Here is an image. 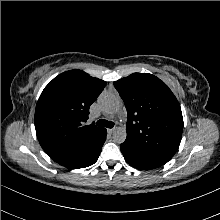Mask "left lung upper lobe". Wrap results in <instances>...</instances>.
I'll return each mask as SVG.
<instances>
[{
	"instance_id": "left-lung-upper-lobe-1",
	"label": "left lung upper lobe",
	"mask_w": 220,
	"mask_h": 220,
	"mask_svg": "<svg viewBox=\"0 0 220 220\" xmlns=\"http://www.w3.org/2000/svg\"><path fill=\"white\" fill-rule=\"evenodd\" d=\"M127 109L126 143L169 161L181 142L179 102L156 76L133 73L114 82Z\"/></svg>"
}]
</instances>
